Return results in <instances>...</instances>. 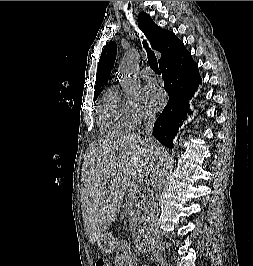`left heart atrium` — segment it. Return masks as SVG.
<instances>
[{
	"label": "left heart atrium",
	"instance_id": "obj_1",
	"mask_svg": "<svg viewBox=\"0 0 253 266\" xmlns=\"http://www.w3.org/2000/svg\"><path fill=\"white\" fill-rule=\"evenodd\" d=\"M147 104L154 111L160 110L166 102L165 92L157 85L151 84L144 88Z\"/></svg>",
	"mask_w": 253,
	"mask_h": 266
}]
</instances>
